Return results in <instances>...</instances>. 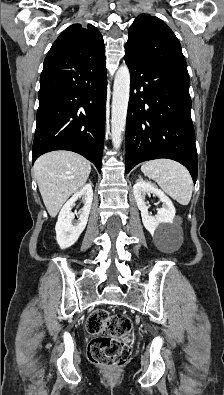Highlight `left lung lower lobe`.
Masks as SVG:
<instances>
[{"mask_svg":"<svg viewBox=\"0 0 224 395\" xmlns=\"http://www.w3.org/2000/svg\"><path fill=\"white\" fill-rule=\"evenodd\" d=\"M124 60L131 76L126 172L140 162L168 158L186 166L195 183L198 160L189 76L128 53Z\"/></svg>","mask_w":224,"mask_h":395,"instance_id":"left-lung-lower-lobe-1","label":"left lung lower lobe"}]
</instances>
